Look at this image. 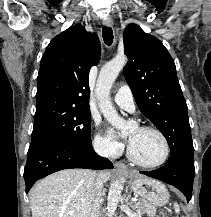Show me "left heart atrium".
<instances>
[{
	"label": "left heart atrium",
	"instance_id": "obj_1",
	"mask_svg": "<svg viewBox=\"0 0 211 217\" xmlns=\"http://www.w3.org/2000/svg\"><path fill=\"white\" fill-rule=\"evenodd\" d=\"M110 132H111V133H113V132H114V130H113L112 128H110Z\"/></svg>",
	"mask_w": 211,
	"mask_h": 217
}]
</instances>
